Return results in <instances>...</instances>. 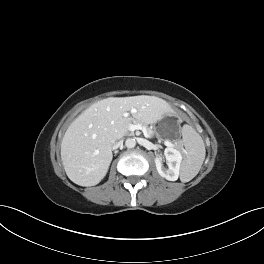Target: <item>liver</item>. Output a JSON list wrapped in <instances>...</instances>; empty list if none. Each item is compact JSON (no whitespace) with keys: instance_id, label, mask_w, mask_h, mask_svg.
<instances>
[{"instance_id":"obj_1","label":"liver","mask_w":264,"mask_h":264,"mask_svg":"<svg viewBox=\"0 0 264 264\" xmlns=\"http://www.w3.org/2000/svg\"><path fill=\"white\" fill-rule=\"evenodd\" d=\"M143 124L160 121L171 113L169 104L155 96L100 100L81 113L68 127L61 142V160L68 178L80 186H95L105 177L112 161L114 142L129 131L132 118Z\"/></svg>"}]
</instances>
